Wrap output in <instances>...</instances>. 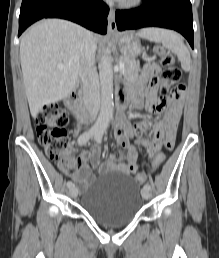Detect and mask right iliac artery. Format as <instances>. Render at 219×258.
<instances>
[{
    "mask_svg": "<svg viewBox=\"0 0 219 258\" xmlns=\"http://www.w3.org/2000/svg\"><path fill=\"white\" fill-rule=\"evenodd\" d=\"M97 132V129H91L88 132H85L83 134H81L78 138V144L79 145H84L86 144V142L95 135V133ZM73 183L72 181H68L67 182V187H72Z\"/></svg>",
    "mask_w": 219,
    "mask_h": 258,
    "instance_id": "right-iliac-artery-1",
    "label": "right iliac artery"
}]
</instances>
